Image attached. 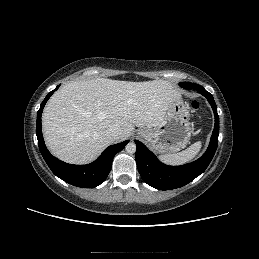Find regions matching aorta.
Segmentation results:
<instances>
[{
	"label": "aorta",
	"mask_w": 259,
	"mask_h": 259,
	"mask_svg": "<svg viewBox=\"0 0 259 259\" xmlns=\"http://www.w3.org/2000/svg\"><path fill=\"white\" fill-rule=\"evenodd\" d=\"M126 152L129 153V154H133L136 152V144L133 143V142H129L126 147Z\"/></svg>",
	"instance_id": "1"
}]
</instances>
